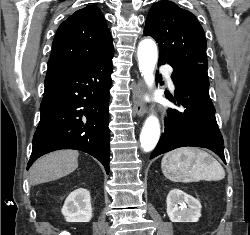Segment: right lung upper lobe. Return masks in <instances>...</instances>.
<instances>
[{
	"instance_id": "1",
	"label": "right lung upper lobe",
	"mask_w": 250,
	"mask_h": 235,
	"mask_svg": "<svg viewBox=\"0 0 250 235\" xmlns=\"http://www.w3.org/2000/svg\"><path fill=\"white\" fill-rule=\"evenodd\" d=\"M111 50L114 48L106 20L96 5H89L59 26L47 75L79 69Z\"/></svg>"
}]
</instances>
